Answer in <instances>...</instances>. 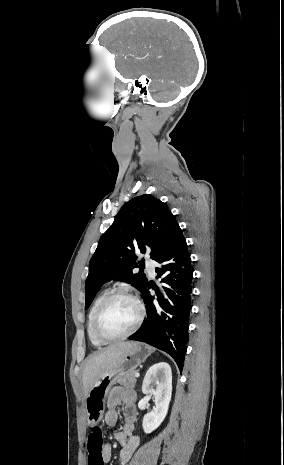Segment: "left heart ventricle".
<instances>
[{
    "mask_svg": "<svg viewBox=\"0 0 284 465\" xmlns=\"http://www.w3.org/2000/svg\"><path fill=\"white\" fill-rule=\"evenodd\" d=\"M137 319L138 312L133 302L126 299L116 300L101 317L98 331L105 338H119L133 328Z\"/></svg>",
    "mask_w": 284,
    "mask_h": 465,
    "instance_id": "obj_1",
    "label": "left heart ventricle"
}]
</instances>
